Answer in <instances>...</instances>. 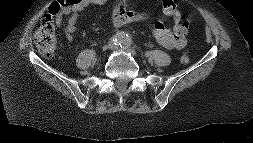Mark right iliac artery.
Returning a JSON list of instances; mask_svg holds the SVG:
<instances>
[{"mask_svg":"<svg viewBox=\"0 0 253 143\" xmlns=\"http://www.w3.org/2000/svg\"><path fill=\"white\" fill-rule=\"evenodd\" d=\"M123 35L117 34L115 37L112 38V41L115 45H120L122 43Z\"/></svg>","mask_w":253,"mask_h":143,"instance_id":"82829eb1","label":"right iliac artery"}]
</instances>
